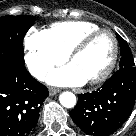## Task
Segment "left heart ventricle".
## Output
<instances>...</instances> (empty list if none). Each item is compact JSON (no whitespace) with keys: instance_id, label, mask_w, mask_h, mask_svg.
<instances>
[{"instance_id":"1","label":"left heart ventricle","mask_w":136,"mask_h":136,"mask_svg":"<svg viewBox=\"0 0 136 136\" xmlns=\"http://www.w3.org/2000/svg\"><path fill=\"white\" fill-rule=\"evenodd\" d=\"M113 54V41L108 34L95 38L73 59L72 64L86 80L98 76L108 66Z\"/></svg>"}]
</instances>
